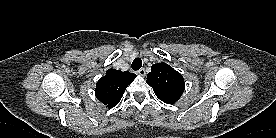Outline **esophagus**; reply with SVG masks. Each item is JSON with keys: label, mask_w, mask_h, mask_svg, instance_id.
<instances>
[{"label": "esophagus", "mask_w": 276, "mask_h": 138, "mask_svg": "<svg viewBox=\"0 0 276 138\" xmlns=\"http://www.w3.org/2000/svg\"><path fill=\"white\" fill-rule=\"evenodd\" d=\"M140 76H145L146 72L144 68H141L140 70H138L137 72Z\"/></svg>", "instance_id": "34e87169"}]
</instances>
